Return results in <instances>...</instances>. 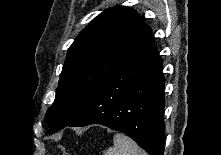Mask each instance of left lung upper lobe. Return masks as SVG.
<instances>
[{"label": "left lung upper lobe", "mask_w": 221, "mask_h": 155, "mask_svg": "<svg viewBox=\"0 0 221 155\" xmlns=\"http://www.w3.org/2000/svg\"><path fill=\"white\" fill-rule=\"evenodd\" d=\"M151 36L150 27L128 7L98 15L69 48L54 103L45 115L50 130H60L78 116L104 81Z\"/></svg>", "instance_id": "obj_1"}]
</instances>
